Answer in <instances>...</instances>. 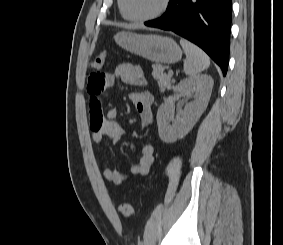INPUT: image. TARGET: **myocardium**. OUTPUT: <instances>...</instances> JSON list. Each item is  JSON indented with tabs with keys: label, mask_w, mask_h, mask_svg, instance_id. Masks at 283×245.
I'll use <instances>...</instances> for the list:
<instances>
[{
	"label": "myocardium",
	"mask_w": 283,
	"mask_h": 245,
	"mask_svg": "<svg viewBox=\"0 0 283 245\" xmlns=\"http://www.w3.org/2000/svg\"><path fill=\"white\" fill-rule=\"evenodd\" d=\"M171 3V0H163L161 6L159 9L154 12L151 15L145 16V17H132L127 14L126 7H125V0H120V8L122 12V16L132 22H148L154 19L159 18L162 16L168 9L169 5Z\"/></svg>",
	"instance_id": "obj_1"
}]
</instances>
